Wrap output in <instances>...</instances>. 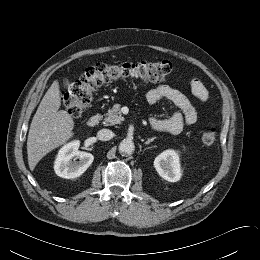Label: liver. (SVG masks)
<instances>
[{
  "label": "liver",
  "instance_id": "liver-1",
  "mask_svg": "<svg viewBox=\"0 0 260 260\" xmlns=\"http://www.w3.org/2000/svg\"><path fill=\"white\" fill-rule=\"evenodd\" d=\"M60 106L59 83L55 80L40 102L30 125L27 154L32 171L45 155L73 137V118L67 111L59 110Z\"/></svg>",
  "mask_w": 260,
  "mask_h": 260
}]
</instances>
